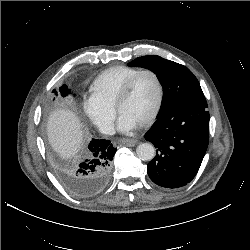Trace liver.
Instances as JSON below:
<instances>
[{
  "mask_svg": "<svg viewBox=\"0 0 250 250\" xmlns=\"http://www.w3.org/2000/svg\"><path fill=\"white\" fill-rule=\"evenodd\" d=\"M47 134L51 146L63 159L74 157L83 144L79 118L69 109L52 112L47 123Z\"/></svg>",
  "mask_w": 250,
  "mask_h": 250,
  "instance_id": "1",
  "label": "liver"
}]
</instances>
